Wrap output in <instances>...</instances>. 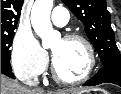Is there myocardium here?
<instances>
[{"instance_id":"myocardium-1","label":"myocardium","mask_w":121,"mask_h":94,"mask_svg":"<svg viewBox=\"0 0 121 94\" xmlns=\"http://www.w3.org/2000/svg\"><path fill=\"white\" fill-rule=\"evenodd\" d=\"M63 40L79 41L85 46L86 51H87V56H88L87 67L82 76H80L78 78H74V79H66V78H63L59 74L55 60L53 58L51 72H52V76H53L54 80L60 84L67 85V86L77 85V84L87 81L90 78V76L92 75V73L95 69V66H96V55H95V51H94V48H93L91 42L86 37H84L80 34H76V33H71V34L65 35L63 37Z\"/></svg>"}]
</instances>
